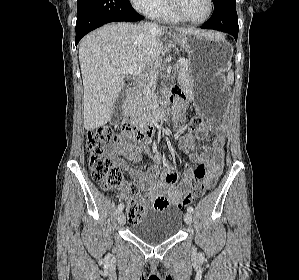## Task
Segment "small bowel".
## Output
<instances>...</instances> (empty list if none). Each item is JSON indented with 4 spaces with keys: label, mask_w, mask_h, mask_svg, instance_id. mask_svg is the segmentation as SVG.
I'll return each mask as SVG.
<instances>
[{
    "label": "small bowel",
    "mask_w": 299,
    "mask_h": 280,
    "mask_svg": "<svg viewBox=\"0 0 299 280\" xmlns=\"http://www.w3.org/2000/svg\"><path fill=\"white\" fill-rule=\"evenodd\" d=\"M180 94V93H179ZM184 108L175 116L174 126L180 129L183 124ZM202 133H194L188 136L187 133L179 138V147L185 153L189 154L191 162L194 164L205 163L207 165L206 181L215 183L220 176L223 168L225 144L228 132V125L218 121H207L201 125ZM209 132L216 134L211 145L194 147V140L204 139ZM143 150H148L146 146L140 145L129 136L124 135L118 143L108 147L109 154L123 168L127 169L126 164L117 157L120 154L130 161L137 162ZM166 158L158 159L157 163L150 167L147 172L131 169L129 170L131 178L137 185L139 191L143 192L142 201L146 208H167L171 205H178L190 194L192 181L194 177V168L189 167L180 177L179 174L168 167ZM120 198L128 201L130 194L128 191H122Z\"/></svg>",
    "instance_id": "small-bowel-1"
}]
</instances>
